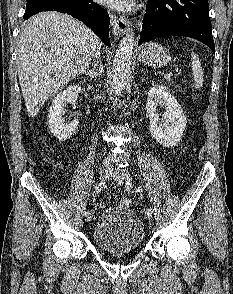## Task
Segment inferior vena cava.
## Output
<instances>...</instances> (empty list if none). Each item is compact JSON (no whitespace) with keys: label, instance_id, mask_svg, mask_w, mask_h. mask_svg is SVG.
<instances>
[{"label":"inferior vena cava","instance_id":"inferior-vena-cava-1","mask_svg":"<svg viewBox=\"0 0 233 294\" xmlns=\"http://www.w3.org/2000/svg\"><path fill=\"white\" fill-rule=\"evenodd\" d=\"M96 59H98V57H95V62H94V66H98V62L96 61ZM109 162H110V159H106L105 160V164L107 165V164H109Z\"/></svg>","mask_w":233,"mask_h":294}]
</instances>
